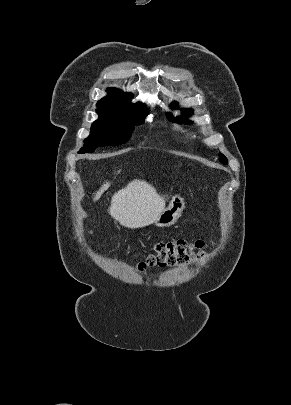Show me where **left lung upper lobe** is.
I'll use <instances>...</instances> for the list:
<instances>
[{
	"label": "left lung upper lobe",
	"mask_w": 291,
	"mask_h": 405,
	"mask_svg": "<svg viewBox=\"0 0 291 405\" xmlns=\"http://www.w3.org/2000/svg\"><path fill=\"white\" fill-rule=\"evenodd\" d=\"M176 105H177V103H173V104H172V106H176ZM183 114H184L185 116H189V115L192 114V110H190V109H189V110H184ZM167 116H168L169 119H171L172 121L177 122V123H185V124H190V123H192V122H190V121H188V120H186V119H184V118H182V117H176V118H174L170 113H168ZM219 160H220L222 163H227L226 157H225L223 154H221V153L219 154Z\"/></svg>",
	"instance_id": "5c2ea615"
}]
</instances>
